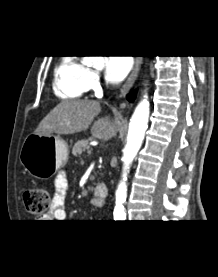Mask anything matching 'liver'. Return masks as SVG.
<instances>
[{
	"instance_id": "obj_1",
	"label": "liver",
	"mask_w": 218,
	"mask_h": 277,
	"mask_svg": "<svg viewBox=\"0 0 218 277\" xmlns=\"http://www.w3.org/2000/svg\"><path fill=\"white\" fill-rule=\"evenodd\" d=\"M98 101L64 100L39 123L34 134L49 136L53 133L67 135L87 130L100 113ZM117 133V126L110 117L100 118L91 127L94 138L107 141Z\"/></svg>"
}]
</instances>
